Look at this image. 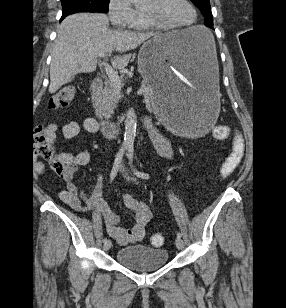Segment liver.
Segmentation results:
<instances>
[{"instance_id": "obj_1", "label": "liver", "mask_w": 286, "mask_h": 308, "mask_svg": "<svg viewBox=\"0 0 286 308\" xmlns=\"http://www.w3.org/2000/svg\"><path fill=\"white\" fill-rule=\"evenodd\" d=\"M108 25V17L96 13L69 15L61 22L51 54L49 93H55L71 82L78 73L95 71L99 52H118L112 64L122 69L128 65L131 57V53L127 52L136 49L147 39L161 35L171 39L181 36V31L136 33L111 30Z\"/></svg>"}]
</instances>
